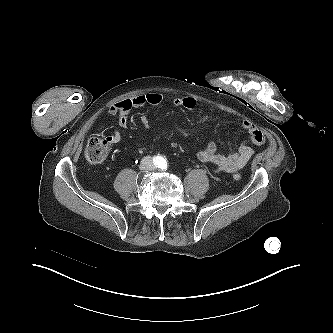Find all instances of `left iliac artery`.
I'll list each match as a JSON object with an SVG mask.
<instances>
[{
  "label": "left iliac artery",
  "mask_w": 333,
  "mask_h": 333,
  "mask_svg": "<svg viewBox=\"0 0 333 333\" xmlns=\"http://www.w3.org/2000/svg\"><path fill=\"white\" fill-rule=\"evenodd\" d=\"M167 161L165 159L161 160L160 165L158 166L159 168H161L162 170H166L167 169Z\"/></svg>",
  "instance_id": "obj_1"
}]
</instances>
